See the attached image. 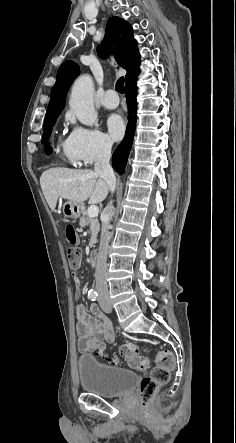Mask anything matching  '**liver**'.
Instances as JSON below:
<instances>
[{"mask_svg":"<svg viewBox=\"0 0 236 443\" xmlns=\"http://www.w3.org/2000/svg\"><path fill=\"white\" fill-rule=\"evenodd\" d=\"M40 185L51 211L59 197L79 204L89 199L95 204L101 203L109 191L105 180L91 170L51 168L42 173Z\"/></svg>","mask_w":236,"mask_h":443,"instance_id":"obj_1","label":"liver"}]
</instances>
